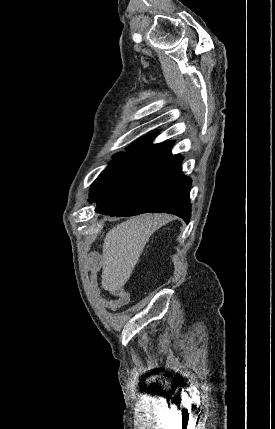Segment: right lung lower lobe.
I'll return each instance as SVG.
<instances>
[{"mask_svg":"<svg viewBox=\"0 0 275 429\" xmlns=\"http://www.w3.org/2000/svg\"><path fill=\"white\" fill-rule=\"evenodd\" d=\"M182 160L167 150L148 161L120 189L98 201L96 212L117 217L164 212L189 223L191 179L180 172Z\"/></svg>","mask_w":275,"mask_h":429,"instance_id":"98d812e1","label":"right lung lower lobe"}]
</instances>
